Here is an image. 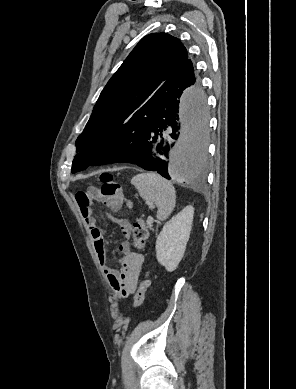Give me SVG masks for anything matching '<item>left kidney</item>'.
<instances>
[{
	"instance_id": "1",
	"label": "left kidney",
	"mask_w": 296,
	"mask_h": 389,
	"mask_svg": "<svg viewBox=\"0 0 296 389\" xmlns=\"http://www.w3.org/2000/svg\"><path fill=\"white\" fill-rule=\"evenodd\" d=\"M194 208L186 206L167 222L156 241V257L167 271H174L182 260L189 240Z\"/></svg>"
}]
</instances>
